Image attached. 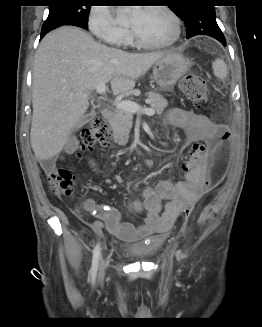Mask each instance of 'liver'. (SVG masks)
<instances>
[{
	"instance_id": "obj_1",
	"label": "liver",
	"mask_w": 262,
	"mask_h": 327,
	"mask_svg": "<svg viewBox=\"0 0 262 327\" xmlns=\"http://www.w3.org/2000/svg\"><path fill=\"white\" fill-rule=\"evenodd\" d=\"M166 53L133 54L96 42L76 27H62L41 42L33 66L31 147L39 161L58 155L89 107L99 83L114 95L129 93Z\"/></svg>"
}]
</instances>
